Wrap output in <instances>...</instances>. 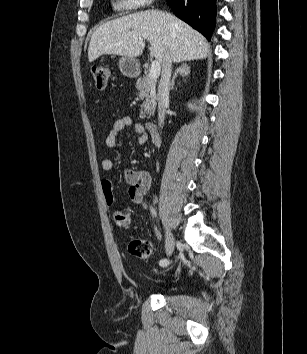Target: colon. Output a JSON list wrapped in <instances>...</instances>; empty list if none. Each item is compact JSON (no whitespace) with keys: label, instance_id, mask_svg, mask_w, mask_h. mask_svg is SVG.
Listing matches in <instances>:
<instances>
[{"label":"colon","instance_id":"1","mask_svg":"<svg viewBox=\"0 0 307 354\" xmlns=\"http://www.w3.org/2000/svg\"><path fill=\"white\" fill-rule=\"evenodd\" d=\"M92 75L98 89H104L107 86L110 68L106 64H98L92 67ZM114 222L119 229H125L130 224V212L126 208H117L114 211ZM129 252L142 259L152 256L154 248L151 242L142 238H131L128 243Z\"/></svg>","mask_w":307,"mask_h":354}]
</instances>
